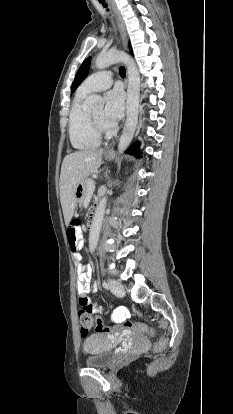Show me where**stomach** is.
I'll use <instances>...</instances> for the list:
<instances>
[{
    "instance_id": "obj_1",
    "label": "stomach",
    "mask_w": 233,
    "mask_h": 414,
    "mask_svg": "<svg viewBox=\"0 0 233 414\" xmlns=\"http://www.w3.org/2000/svg\"><path fill=\"white\" fill-rule=\"evenodd\" d=\"M105 158L109 160L112 158V156L105 154ZM84 190H85V187H84V183L82 182L81 184L78 185V187L76 188V192H75V197L78 198L80 201H82L83 198L85 197Z\"/></svg>"
}]
</instances>
